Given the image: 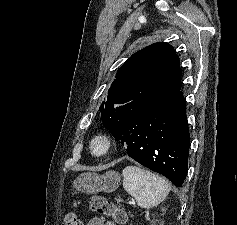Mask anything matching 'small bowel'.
<instances>
[{"mask_svg":"<svg viewBox=\"0 0 237 225\" xmlns=\"http://www.w3.org/2000/svg\"><path fill=\"white\" fill-rule=\"evenodd\" d=\"M87 225H115V223L112 221H106L100 217H92L88 221Z\"/></svg>","mask_w":237,"mask_h":225,"instance_id":"1","label":"small bowel"}]
</instances>
